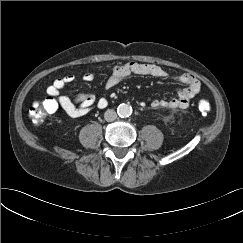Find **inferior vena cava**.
I'll list each match as a JSON object with an SVG mask.
<instances>
[{
  "label": "inferior vena cava",
  "mask_w": 243,
  "mask_h": 243,
  "mask_svg": "<svg viewBox=\"0 0 243 243\" xmlns=\"http://www.w3.org/2000/svg\"><path fill=\"white\" fill-rule=\"evenodd\" d=\"M117 118V114L113 109H108L106 110V112L104 113V119L107 122H112Z\"/></svg>",
  "instance_id": "inferior-vena-cava-1"
}]
</instances>
